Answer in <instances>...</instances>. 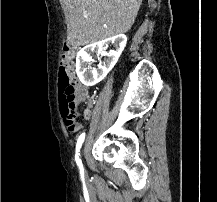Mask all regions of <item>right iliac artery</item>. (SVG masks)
I'll list each match as a JSON object with an SVG mask.
<instances>
[{
	"instance_id": "right-iliac-artery-1",
	"label": "right iliac artery",
	"mask_w": 217,
	"mask_h": 202,
	"mask_svg": "<svg viewBox=\"0 0 217 202\" xmlns=\"http://www.w3.org/2000/svg\"><path fill=\"white\" fill-rule=\"evenodd\" d=\"M85 139V133H82L78 140H77V144H76V154H75V160H76V163H82L81 160L79 159V151H80V148L82 146V143Z\"/></svg>"
}]
</instances>
